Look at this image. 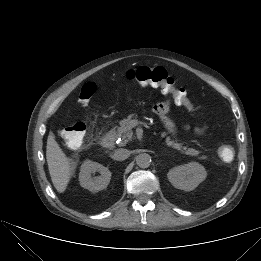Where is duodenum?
<instances>
[{"mask_svg": "<svg viewBox=\"0 0 261 261\" xmlns=\"http://www.w3.org/2000/svg\"><path fill=\"white\" fill-rule=\"evenodd\" d=\"M114 133L112 131H108L102 137L101 143L105 148H111L114 145Z\"/></svg>", "mask_w": 261, "mask_h": 261, "instance_id": "1", "label": "duodenum"}]
</instances>
